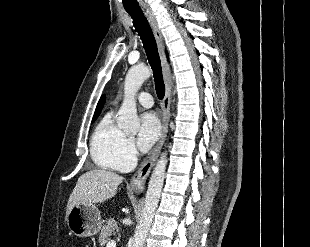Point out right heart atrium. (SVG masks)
Listing matches in <instances>:
<instances>
[{"instance_id": "1", "label": "right heart atrium", "mask_w": 310, "mask_h": 247, "mask_svg": "<svg viewBox=\"0 0 310 247\" xmlns=\"http://www.w3.org/2000/svg\"><path fill=\"white\" fill-rule=\"evenodd\" d=\"M137 150L134 139L132 137H125L120 147L117 166L119 170H125L135 162L137 158Z\"/></svg>"}]
</instances>
